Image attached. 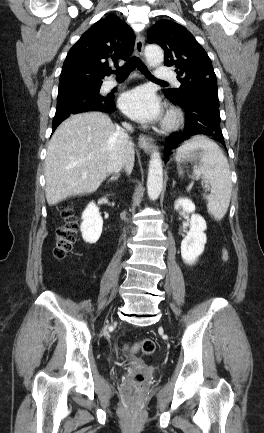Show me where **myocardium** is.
<instances>
[{
    "instance_id": "1",
    "label": "myocardium",
    "mask_w": 264,
    "mask_h": 433,
    "mask_svg": "<svg viewBox=\"0 0 264 433\" xmlns=\"http://www.w3.org/2000/svg\"><path fill=\"white\" fill-rule=\"evenodd\" d=\"M182 122V114L175 109H171L163 122V128L165 130H173L176 129Z\"/></svg>"
}]
</instances>
